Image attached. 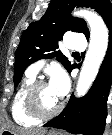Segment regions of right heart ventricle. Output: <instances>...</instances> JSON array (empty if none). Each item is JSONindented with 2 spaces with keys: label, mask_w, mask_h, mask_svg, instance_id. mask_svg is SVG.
<instances>
[{
  "label": "right heart ventricle",
  "mask_w": 112,
  "mask_h": 135,
  "mask_svg": "<svg viewBox=\"0 0 112 135\" xmlns=\"http://www.w3.org/2000/svg\"><path fill=\"white\" fill-rule=\"evenodd\" d=\"M35 81L33 75L26 74V77L18 87L10 106V113L14 122L21 127H32L38 120L29 115L25 107V95L28 88Z\"/></svg>",
  "instance_id": "right-heart-ventricle-1"
}]
</instances>
